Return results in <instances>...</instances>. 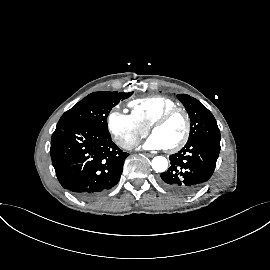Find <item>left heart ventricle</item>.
I'll return each mask as SVG.
<instances>
[{"mask_svg":"<svg viewBox=\"0 0 270 270\" xmlns=\"http://www.w3.org/2000/svg\"><path fill=\"white\" fill-rule=\"evenodd\" d=\"M186 128V120L183 114L178 113L170 118L165 124L156 128L154 135L159 137L165 148L176 144L183 136Z\"/></svg>","mask_w":270,"mask_h":270,"instance_id":"1","label":"left heart ventricle"}]
</instances>
